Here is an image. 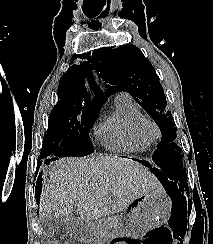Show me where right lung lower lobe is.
Segmentation results:
<instances>
[{
    "label": "right lung lower lobe",
    "instance_id": "98d812e1",
    "mask_svg": "<svg viewBox=\"0 0 213 244\" xmlns=\"http://www.w3.org/2000/svg\"><path fill=\"white\" fill-rule=\"evenodd\" d=\"M41 158H43V157H41ZM35 192H36V196L38 197L40 195V184L39 183L36 186V191Z\"/></svg>",
    "mask_w": 213,
    "mask_h": 244
}]
</instances>
